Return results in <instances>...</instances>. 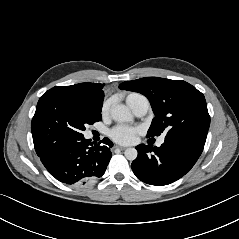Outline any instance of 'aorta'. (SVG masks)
Returning <instances> with one entry per match:
<instances>
[{
	"instance_id": "obj_1",
	"label": "aorta",
	"mask_w": 239,
	"mask_h": 239,
	"mask_svg": "<svg viewBox=\"0 0 239 239\" xmlns=\"http://www.w3.org/2000/svg\"><path fill=\"white\" fill-rule=\"evenodd\" d=\"M111 117L116 122H131L133 120L130 110L123 105H118L112 108ZM124 155L128 160L133 161L137 158L138 152L135 148H127Z\"/></svg>"
}]
</instances>
